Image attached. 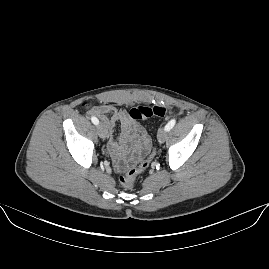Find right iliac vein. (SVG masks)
<instances>
[{
	"instance_id": "obj_1",
	"label": "right iliac vein",
	"mask_w": 269,
	"mask_h": 269,
	"mask_svg": "<svg viewBox=\"0 0 269 269\" xmlns=\"http://www.w3.org/2000/svg\"><path fill=\"white\" fill-rule=\"evenodd\" d=\"M97 132H98V135L100 136V138L105 139L107 137L108 130L103 123H100L97 126Z\"/></svg>"
}]
</instances>
